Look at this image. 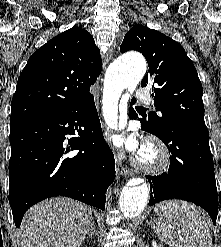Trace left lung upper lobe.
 Returning a JSON list of instances; mask_svg holds the SVG:
<instances>
[{
	"label": "left lung upper lobe",
	"mask_w": 221,
	"mask_h": 247,
	"mask_svg": "<svg viewBox=\"0 0 221 247\" xmlns=\"http://www.w3.org/2000/svg\"><path fill=\"white\" fill-rule=\"evenodd\" d=\"M141 52L149 72L142 87L153 90L155 112L144 118L160 135L174 126L187 130L207 129L204 122L203 88L192 61L184 48L166 35L146 26L135 25L124 37L120 52Z\"/></svg>",
	"instance_id": "1"
}]
</instances>
